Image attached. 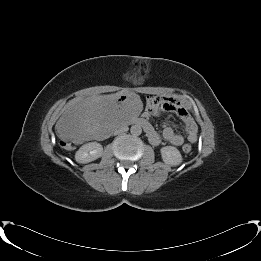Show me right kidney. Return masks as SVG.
<instances>
[{
	"label": "right kidney",
	"mask_w": 261,
	"mask_h": 261,
	"mask_svg": "<svg viewBox=\"0 0 261 261\" xmlns=\"http://www.w3.org/2000/svg\"><path fill=\"white\" fill-rule=\"evenodd\" d=\"M103 146L97 142H89L82 145L75 154L78 163L86 164L102 156Z\"/></svg>",
	"instance_id": "right-kidney-1"
}]
</instances>
